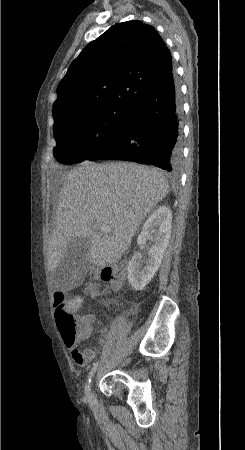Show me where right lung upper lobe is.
<instances>
[{"label":"right lung upper lobe","instance_id":"right-lung-upper-lobe-1","mask_svg":"<svg viewBox=\"0 0 245 450\" xmlns=\"http://www.w3.org/2000/svg\"><path fill=\"white\" fill-rule=\"evenodd\" d=\"M172 71L170 52L154 27L139 20L115 24L71 63L57 87L53 114L132 106Z\"/></svg>","mask_w":245,"mask_h":450}]
</instances>
